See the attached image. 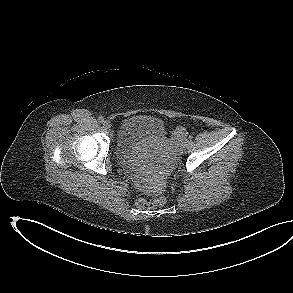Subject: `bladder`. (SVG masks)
<instances>
[{"mask_svg":"<svg viewBox=\"0 0 293 293\" xmlns=\"http://www.w3.org/2000/svg\"><path fill=\"white\" fill-rule=\"evenodd\" d=\"M166 129L157 117L137 114L124 119L118 129L114 155L119 162H128L138 146L147 141H164Z\"/></svg>","mask_w":293,"mask_h":293,"instance_id":"obj_1","label":"bladder"}]
</instances>
